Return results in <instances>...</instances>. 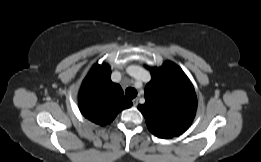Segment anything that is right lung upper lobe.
I'll return each instance as SVG.
<instances>
[{"label": "right lung upper lobe", "mask_w": 261, "mask_h": 162, "mask_svg": "<svg viewBox=\"0 0 261 162\" xmlns=\"http://www.w3.org/2000/svg\"><path fill=\"white\" fill-rule=\"evenodd\" d=\"M110 75L109 65H94L78 95L83 116L101 126L111 123L121 110L132 106V102L125 99L122 88L111 81Z\"/></svg>", "instance_id": "right-lung-upper-lobe-1"}]
</instances>
